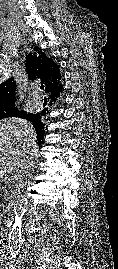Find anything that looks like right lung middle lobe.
Here are the masks:
<instances>
[{
  "instance_id": "1",
  "label": "right lung middle lobe",
  "mask_w": 118,
  "mask_h": 269,
  "mask_svg": "<svg viewBox=\"0 0 118 269\" xmlns=\"http://www.w3.org/2000/svg\"><path fill=\"white\" fill-rule=\"evenodd\" d=\"M21 111L15 107V104L0 107V120L8 117H17Z\"/></svg>"
}]
</instances>
